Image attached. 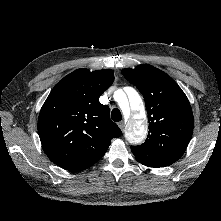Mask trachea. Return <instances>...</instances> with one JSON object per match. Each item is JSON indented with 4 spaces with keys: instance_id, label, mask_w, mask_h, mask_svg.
Wrapping results in <instances>:
<instances>
[{
    "instance_id": "3493384b",
    "label": "trachea",
    "mask_w": 221,
    "mask_h": 221,
    "mask_svg": "<svg viewBox=\"0 0 221 221\" xmlns=\"http://www.w3.org/2000/svg\"><path fill=\"white\" fill-rule=\"evenodd\" d=\"M111 118L115 122H119L122 120V114L118 108H114L111 112Z\"/></svg>"
}]
</instances>
